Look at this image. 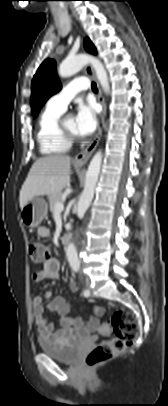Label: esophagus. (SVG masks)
I'll return each mask as SVG.
<instances>
[{"label": "esophagus", "instance_id": "obj_1", "mask_svg": "<svg viewBox=\"0 0 168 406\" xmlns=\"http://www.w3.org/2000/svg\"><path fill=\"white\" fill-rule=\"evenodd\" d=\"M85 72H86L89 76H91V77L95 80V82H96L97 89H98L97 98H98V102H99V103L101 104V106H102V111H101L100 122H99L98 129H97V132H96L95 137H94L93 140H92L81 152H79V153L75 156V158H74V162H75L76 164H79V165H84V164H86V163L88 162V160L90 159V157L92 156L93 152L95 151V149H96V147H97V145H98V143H99V141H100V139H101V136H102V132H103V128H104V122H105V116H106V104H105V101H104V97H103V94H102V90H101V88H100V86H99V83H98L96 77H95V74H94V71H93L92 66L88 64V65L85 67Z\"/></svg>", "mask_w": 168, "mask_h": 406}]
</instances>
